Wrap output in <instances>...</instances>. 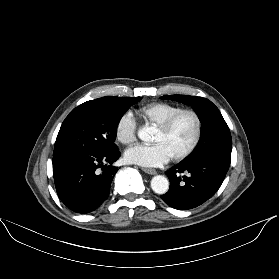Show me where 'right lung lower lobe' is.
<instances>
[{
	"mask_svg": "<svg viewBox=\"0 0 279 279\" xmlns=\"http://www.w3.org/2000/svg\"><path fill=\"white\" fill-rule=\"evenodd\" d=\"M117 148L102 156L78 155L53 158V177L60 200L76 213H89L108 197L117 172L112 164Z\"/></svg>",
	"mask_w": 279,
	"mask_h": 279,
	"instance_id": "1",
	"label": "right lung lower lobe"
}]
</instances>
